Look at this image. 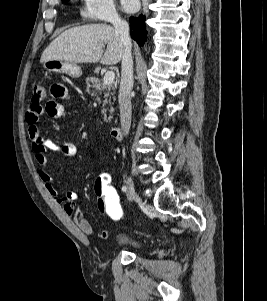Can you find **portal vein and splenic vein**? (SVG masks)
<instances>
[{
    "label": "portal vein and splenic vein",
    "mask_w": 267,
    "mask_h": 301,
    "mask_svg": "<svg viewBox=\"0 0 267 301\" xmlns=\"http://www.w3.org/2000/svg\"><path fill=\"white\" fill-rule=\"evenodd\" d=\"M114 78H115V73L113 71H108L104 75L103 83L105 85H109V84L113 83Z\"/></svg>",
    "instance_id": "obj_1"
}]
</instances>
